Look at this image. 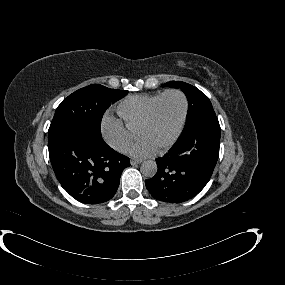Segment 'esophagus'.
<instances>
[{"label": "esophagus", "mask_w": 285, "mask_h": 285, "mask_svg": "<svg viewBox=\"0 0 285 285\" xmlns=\"http://www.w3.org/2000/svg\"><path fill=\"white\" fill-rule=\"evenodd\" d=\"M141 162H142L141 159H134V158L130 159L131 165H137V164H140Z\"/></svg>", "instance_id": "esophagus-1"}]
</instances>
